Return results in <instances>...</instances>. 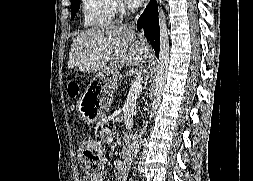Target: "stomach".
Instances as JSON below:
<instances>
[{"label": "stomach", "mask_w": 253, "mask_h": 181, "mask_svg": "<svg viewBox=\"0 0 253 181\" xmlns=\"http://www.w3.org/2000/svg\"><path fill=\"white\" fill-rule=\"evenodd\" d=\"M118 79V72L97 73L87 87L84 100L77 104L79 115L88 122L105 116L118 86Z\"/></svg>", "instance_id": "obj_1"}]
</instances>
